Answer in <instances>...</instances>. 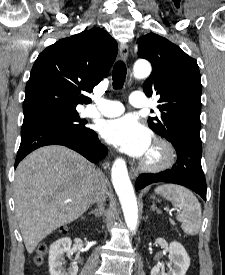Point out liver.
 <instances>
[{
	"instance_id": "1",
	"label": "liver",
	"mask_w": 225,
	"mask_h": 275,
	"mask_svg": "<svg viewBox=\"0 0 225 275\" xmlns=\"http://www.w3.org/2000/svg\"><path fill=\"white\" fill-rule=\"evenodd\" d=\"M97 173L83 156L59 145L39 148L20 162L14 201L28 253L47 235L89 209Z\"/></svg>"
}]
</instances>
